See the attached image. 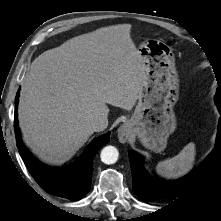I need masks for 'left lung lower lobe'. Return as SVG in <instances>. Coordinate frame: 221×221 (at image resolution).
Instances as JSON below:
<instances>
[{
  "mask_svg": "<svg viewBox=\"0 0 221 221\" xmlns=\"http://www.w3.org/2000/svg\"><path fill=\"white\" fill-rule=\"evenodd\" d=\"M215 103L221 114V97L215 98ZM221 143V117L218 125L217 143ZM208 157L202 164L192 173L184 176L181 179L168 181L164 179L152 178L143 167V157L133 151L129 152V159L132 169L133 190L144 201L153 202L158 199L177 197L190 189L203 175L209 159Z\"/></svg>",
  "mask_w": 221,
  "mask_h": 221,
  "instance_id": "obj_1",
  "label": "left lung lower lobe"
}]
</instances>
